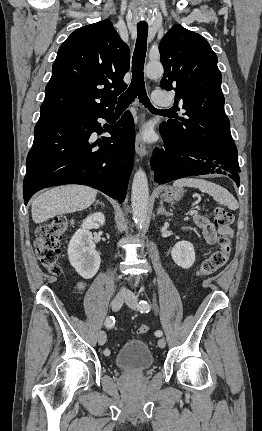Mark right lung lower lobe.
<instances>
[{
    "label": "right lung lower lobe",
    "mask_w": 262,
    "mask_h": 431,
    "mask_svg": "<svg viewBox=\"0 0 262 431\" xmlns=\"http://www.w3.org/2000/svg\"><path fill=\"white\" fill-rule=\"evenodd\" d=\"M98 118L112 122L113 111L40 116L26 160L25 204L37 191L63 184L87 185L123 202L134 161L133 117L127 111L107 130L111 137L94 142L92 134L103 132Z\"/></svg>",
    "instance_id": "obj_1"
}]
</instances>
